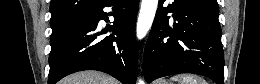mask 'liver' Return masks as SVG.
Masks as SVG:
<instances>
[{
    "mask_svg": "<svg viewBox=\"0 0 260 84\" xmlns=\"http://www.w3.org/2000/svg\"><path fill=\"white\" fill-rule=\"evenodd\" d=\"M61 84H118V81L97 71H81L64 78Z\"/></svg>",
    "mask_w": 260,
    "mask_h": 84,
    "instance_id": "obj_1",
    "label": "liver"
}]
</instances>
